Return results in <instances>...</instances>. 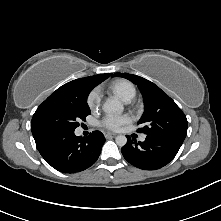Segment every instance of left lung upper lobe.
Returning <instances> with one entry per match:
<instances>
[{
	"instance_id": "1",
	"label": "left lung upper lobe",
	"mask_w": 221,
	"mask_h": 221,
	"mask_svg": "<svg viewBox=\"0 0 221 221\" xmlns=\"http://www.w3.org/2000/svg\"><path fill=\"white\" fill-rule=\"evenodd\" d=\"M124 77L135 83L144 98V113L138 124L144 127L139 132L147 136H167L185 139L187 133V119L176 103L157 85L137 75L116 73L113 75Z\"/></svg>"
}]
</instances>
